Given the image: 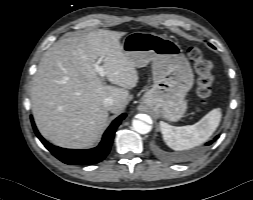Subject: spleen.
Returning <instances> with one entry per match:
<instances>
[{"label":"spleen","mask_w":253,"mask_h":200,"mask_svg":"<svg viewBox=\"0 0 253 200\" xmlns=\"http://www.w3.org/2000/svg\"><path fill=\"white\" fill-rule=\"evenodd\" d=\"M221 117V110L216 108L193 125L175 127L161 121L160 129L163 140L176 151L192 149L212 136L220 124Z\"/></svg>","instance_id":"1"}]
</instances>
